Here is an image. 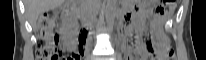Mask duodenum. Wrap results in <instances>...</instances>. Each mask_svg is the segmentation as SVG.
Returning a JSON list of instances; mask_svg holds the SVG:
<instances>
[{"label": "duodenum", "mask_w": 206, "mask_h": 60, "mask_svg": "<svg viewBox=\"0 0 206 60\" xmlns=\"http://www.w3.org/2000/svg\"><path fill=\"white\" fill-rule=\"evenodd\" d=\"M65 14L67 15V16H74V17H76V7H75V4H73V3H70V4H68L66 7H65ZM76 23L77 24H82L83 23V20L82 19H77L76 20ZM79 26H81V25H79ZM119 29L120 30H123L124 29V26L123 25H120L119 26ZM91 30H92V26H91V24H89L88 22H85L84 23V32H85V34H89L90 32H91Z\"/></svg>", "instance_id": "obj_1"}]
</instances>
